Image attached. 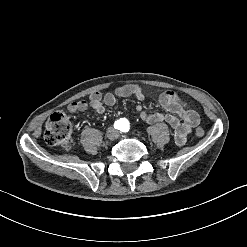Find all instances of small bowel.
<instances>
[{"instance_id": "obj_1", "label": "small bowel", "mask_w": 247, "mask_h": 247, "mask_svg": "<svg viewBox=\"0 0 247 247\" xmlns=\"http://www.w3.org/2000/svg\"><path fill=\"white\" fill-rule=\"evenodd\" d=\"M138 85L125 84L117 87L114 92H108L102 95L100 92H94L89 100H79L70 103L67 110L70 113H80L88 108H92L97 113H103L105 106H114L117 97H135L141 100L137 95ZM159 102L161 106L168 112L148 113L141 106H137L136 110L140 119L148 124L157 122H166L174 131V140L177 146L181 147L186 143L187 135L192 129H197L200 126V115L192 108H188L180 95L172 91H166L160 95ZM181 120H186L189 124L182 123Z\"/></svg>"}]
</instances>
